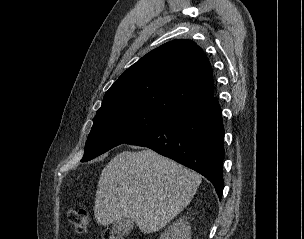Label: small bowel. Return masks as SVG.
<instances>
[{
	"instance_id": "1",
	"label": "small bowel",
	"mask_w": 304,
	"mask_h": 239,
	"mask_svg": "<svg viewBox=\"0 0 304 239\" xmlns=\"http://www.w3.org/2000/svg\"><path fill=\"white\" fill-rule=\"evenodd\" d=\"M65 239H73L72 237H66Z\"/></svg>"
}]
</instances>
